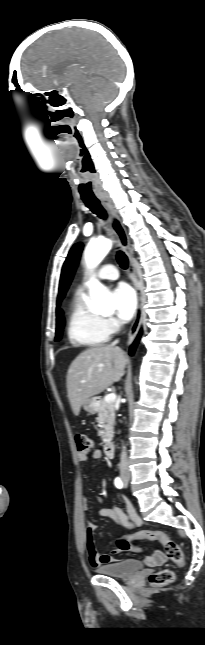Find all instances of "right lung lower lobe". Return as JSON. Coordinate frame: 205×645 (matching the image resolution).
I'll return each instance as SVG.
<instances>
[{
  "label": "right lung lower lobe",
  "instance_id": "98d812e1",
  "mask_svg": "<svg viewBox=\"0 0 205 645\" xmlns=\"http://www.w3.org/2000/svg\"><path fill=\"white\" fill-rule=\"evenodd\" d=\"M140 336H141V331L139 332V334H138V336H137L136 340L134 341V343H133V344L131 345V347H130V351H129L130 355H133V353H134V351H135V348H136V346H137V344H138V341H139V339H140Z\"/></svg>",
  "mask_w": 205,
  "mask_h": 645
}]
</instances>
